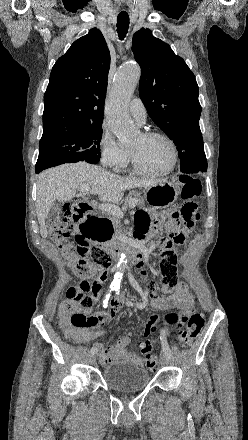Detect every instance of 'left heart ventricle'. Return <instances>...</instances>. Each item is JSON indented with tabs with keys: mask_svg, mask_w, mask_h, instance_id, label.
<instances>
[{
	"mask_svg": "<svg viewBox=\"0 0 248 440\" xmlns=\"http://www.w3.org/2000/svg\"><path fill=\"white\" fill-rule=\"evenodd\" d=\"M130 149L135 152L141 166L152 172L164 171L172 162V149L162 138H146L140 134Z\"/></svg>",
	"mask_w": 248,
	"mask_h": 440,
	"instance_id": "obj_1",
	"label": "left heart ventricle"
}]
</instances>
